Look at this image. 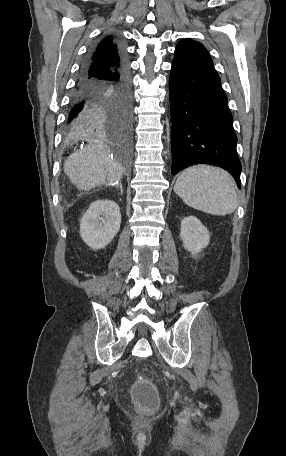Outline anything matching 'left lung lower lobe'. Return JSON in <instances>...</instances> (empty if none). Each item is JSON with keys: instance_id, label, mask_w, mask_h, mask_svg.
I'll return each instance as SVG.
<instances>
[{"instance_id": "left-lung-lower-lobe-1", "label": "left lung lower lobe", "mask_w": 286, "mask_h": 456, "mask_svg": "<svg viewBox=\"0 0 286 456\" xmlns=\"http://www.w3.org/2000/svg\"><path fill=\"white\" fill-rule=\"evenodd\" d=\"M173 175L195 164L227 170L241 188V163L227 96L220 77L173 61L169 79Z\"/></svg>"}]
</instances>
